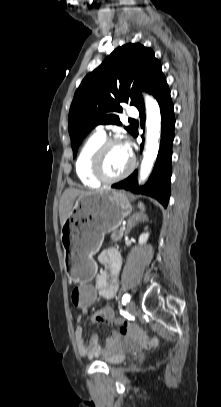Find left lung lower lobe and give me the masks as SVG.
Wrapping results in <instances>:
<instances>
[{
	"instance_id": "obj_1",
	"label": "left lung lower lobe",
	"mask_w": 221,
	"mask_h": 407,
	"mask_svg": "<svg viewBox=\"0 0 221 407\" xmlns=\"http://www.w3.org/2000/svg\"><path fill=\"white\" fill-rule=\"evenodd\" d=\"M153 96L158 101L161 109L162 128L160 149L152 174L147 183L140 188L138 187L137 183V171H135L125 180L113 184L112 188L125 189L133 193H141L154 197L166 208L170 197V178L172 174L171 158L175 118L173 104L170 97V90L165 77L157 84L153 92ZM138 110L140 113L141 126L144 127V105ZM137 135L138 133L135 132L134 136Z\"/></svg>"
}]
</instances>
